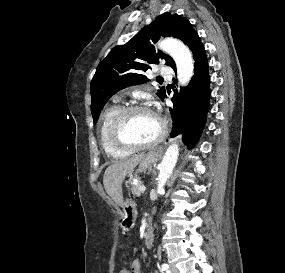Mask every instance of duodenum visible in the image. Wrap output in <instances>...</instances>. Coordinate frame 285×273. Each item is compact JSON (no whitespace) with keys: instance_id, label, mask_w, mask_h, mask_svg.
<instances>
[{"instance_id":"duodenum-1","label":"duodenum","mask_w":285,"mask_h":273,"mask_svg":"<svg viewBox=\"0 0 285 273\" xmlns=\"http://www.w3.org/2000/svg\"><path fill=\"white\" fill-rule=\"evenodd\" d=\"M144 243L146 247H150L153 243V230L152 228H149L144 236Z\"/></svg>"}]
</instances>
